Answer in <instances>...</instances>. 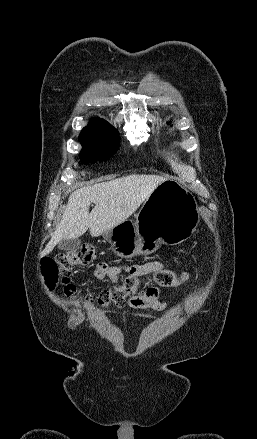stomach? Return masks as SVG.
Returning a JSON list of instances; mask_svg holds the SVG:
<instances>
[{
	"label": "stomach",
	"mask_w": 257,
	"mask_h": 439,
	"mask_svg": "<svg viewBox=\"0 0 257 439\" xmlns=\"http://www.w3.org/2000/svg\"><path fill=\"white\" fill-rule=\"evenodd\" d=\"M199 206L192 192L180 182L166 179L160 183L135 216L103 233L111 250L120 257L149 255L160 244L177 245L196 230Z\"/></svg>",
	"instance_id": "0dacf381"
}]
</instances>
